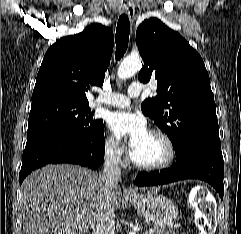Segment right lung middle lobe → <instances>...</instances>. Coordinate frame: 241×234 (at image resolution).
<instances>
[{
    "instance_id": "1",
    "label": "right lung middle lobe",
    "mask_w": 241,
    "mask_h": 234,
    "mask_svg": "<svg viewBox=\"0 0 241 234\" xmlns=\"http://www.w3.org/2000/svg\"><path fill=\"white\" fill-rule=\"evenodd\" d=\"M88 103L49 101L32 105L28 133L46 129H63L90 137L103 128L102 120H94Z\"/></svg>"
}]
</instances>
